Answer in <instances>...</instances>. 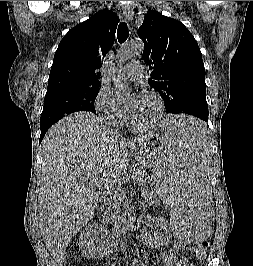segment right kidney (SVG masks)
I'll return each instance as SVG.
<instances>
[{"instance_id":"obj_1","label":"right kidney","mask_w":253,"mask_h":266,"mask_svg":"<svg viewBox=\"0 0 253 266\" xmlns=\"http://www.w3.org/2000/svg\"><path fill=\"white\" fill-rule=\"evenodd\" d=\"M108 230L98 224H88L80 233L79 246L90 258H100L107 254Z\"/></svg>"}]
</instances>
